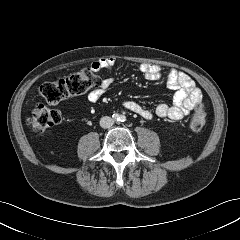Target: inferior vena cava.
<instances>
[{"label": "inferior vena cava", "mask_w": 240, "mask_h": 240, "mask_svg": "<svg viewBox=\"0 0 240 240\" xmlns=\"http://www.w3.org/2000/svg\"><path fill=\"white\" fill-rule=\"evenodd\" d=\"M114 124V120L111 117L104 116L100 119V126L102 128H110Z\"/></svg>", "instance_id": "1"}]
</instances>
